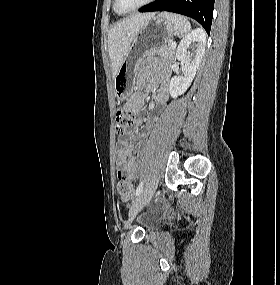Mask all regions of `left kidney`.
<instances>
[{"label": "left kidney", "mask_w": 280, "mask_h": 285, "mask_svg": "<svg viewBox=\"0 0 280 285\" xmlns=\"http://www.w3.org/2000/svg\"><path fill=\"white\" fill-rule=\"evenodd\" d=\"M205 46L206 34L201 28L194 29L180 41L176 57L184 63L183 76L171 78L169 86L171 97L176 98L188 89L201 63Z\"/></svg>", "instance_id": "1"}]
</instances>
